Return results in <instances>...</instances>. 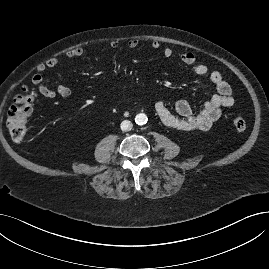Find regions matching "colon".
Here are the masks:
<instances>
[{"mask_svg":"<svg viewBox=\"0 0 269 269\" xmlns=\"http://www.w3.org/2000/svg\"><path fill=\"white\" fill-rule=\"evenodd\" d=\"M37 93L28 87H24L11 106L6 126L10 137L15 141H21L27 134V119L32 114ZM233 125L238 132H244L247 124L241 116L235 117Z\"/></svg>","mask_w":269,"mask_h":269,"instance_id":"5ec220e1","label":"colon"}]
</instances>
